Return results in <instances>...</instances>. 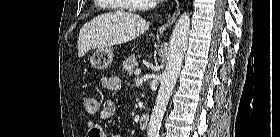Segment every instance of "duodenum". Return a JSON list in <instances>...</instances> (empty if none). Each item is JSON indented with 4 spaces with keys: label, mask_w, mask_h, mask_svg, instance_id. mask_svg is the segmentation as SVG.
<instances>
[{
    "label": "duodenum",
    "mask_w": 280,
    "mask_h": 137,
    "mask_svg": "<svg viewBox=\"0 0 280 137\" xmlns=\"http://www.w3.org/2000/svg\"><path fill=\"white\" fill-rule=\"evenodd\" d=\"M150 117L148 114H142L139 118V128L146 130L148 128Z\"/></svg>",
    "instance_id": "410a0bca"
}]
</instances>
